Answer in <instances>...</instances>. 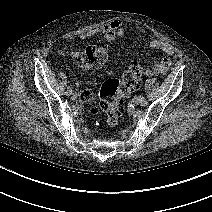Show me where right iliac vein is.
I'll return each instance as SVG.
<instances>
[{"instance_id": "63e3f726", "label": "right iliac vein", "mask_w": 212, "mask_h": 212, "mask_svg": "<svg viewBox=\"0 0 212 212\" xmlns=\"http://www.w3.org/2000/svg\"><path fill=\"white\" fill-rule=\"evenodd\" d=\"M71 99L76 100L77 99V94L76 93H71Z\"/></svg>"}]
</instances>
